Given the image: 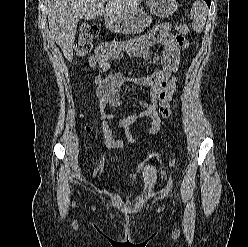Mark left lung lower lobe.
<instances>
[{
    "label": "left lung lower lobe",
    "mask_w": 248,
    "mask_h": 247,
    "mask_svg": "<svg viewBox=\"0 0 248 247\" xmlns=\"http://www.w3.org/2000/svg\"><path fill=\"white\" fill-rule=\"evenodd\" d=\"M205 1H206L207 5L210 7V5H211V0H205Z\"/></svg>",
    "instance_id": "0a47b994"
}]
</instances>
